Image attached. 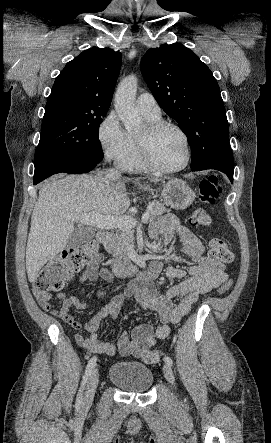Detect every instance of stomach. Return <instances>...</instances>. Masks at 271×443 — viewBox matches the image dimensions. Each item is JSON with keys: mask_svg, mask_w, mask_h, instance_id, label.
<instances>
[{"mask_svg": "<svg viewBox=\"0 0 271 443\" xmlns=\"http://www.w3.org/2000/svg\"><path fill=\"white\" fill-rule=\"evenodd\" d=\"M139 188L144 192L151 190L149 186H141V184H139ZM162 196L166 206H170L174 210H186L196 198L195 192L182 180H170L168 184L163 186Z\"/></svg>", "mask_w": 271, "mask_h": 443, "instance_id": "1", "label": "stomach"}]
</instances>
